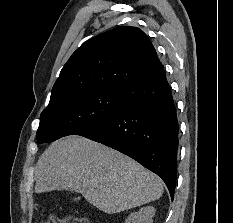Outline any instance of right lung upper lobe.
Segmentation results:
<instances>
[{
  "label": "right lung upper lobe",
  "instance_id": "obj_1",
  "mask_svg": "<svg viewBox=\"0 0 233 223\" xmlns=\"http://www.w3.org/2000/svg\"><path fill=\"white\" fill-rule=\"evenodd\" d=\"M163 70L147 35L137 27L120 26L78 48L62 68L50 101L92 88L122 89Z\"/></svg>",
  "mask_w": 233,
  "mask_h": 223
}]
</instances>
